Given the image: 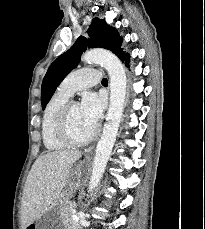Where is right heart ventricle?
<instances>
[{"label":"right heart ventricle","instance_id":"right-heart-ventricle-1","mask_svg":"<svg viewBox=\"0 0 205 229\" xmlns=\"http://www.w3.org/2000/svg\"><path fill=\"white\" fill-rule=\"evenodd\" d=\"M68 100V96L58 91L45 106L42 118V140L45 148L49 151H59L67 147L57 138L55 127L59 111Z\"/></svg>","mask_w":205,"mask_h":229}]
</instances>
